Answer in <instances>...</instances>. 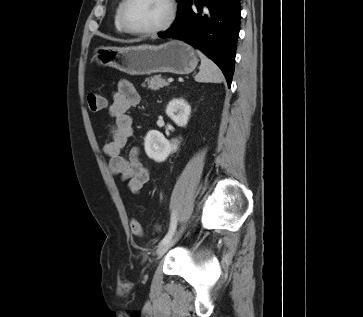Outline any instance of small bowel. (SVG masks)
Wrapping results in <instances>:
<instances>
[{
  "instance_id": "1",
  "label": "small bowel",
  "mask_w": 363,
  "mask_h": 317,
  "mask_svg": "<svg viewBox=\"0 0 363 317\" xmlns=\"http://www.w3.org/2000/svg\"><path fill=\"white\" fill-rule=\"evenodd\" d=\"M141 101V96L129 81L119 82L109 107L110 115L114 118L108 128L111 140L104 146L111 172L122 181H127L133 193H139L150 176L148 168L141 161L139 147H133L127 157L122 155L128 140L134 135L133 120L128 111Z\"/></svg>"
}]
</instances>
